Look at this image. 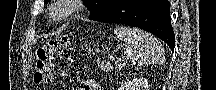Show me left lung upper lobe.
<instances>
[{
	"mask_svg": "<svg viewBox=\"0 0 216 90\" xmlns=\"http://www.w3.org/2000/svg\"><path fill=\"white\" fill-rule=\"evenodd\" d=\"M50 0H44V3H48ZM124 0H83L90 13V20H93L99 14L112 9L119 5Z\"/></svg>",
	"mask_w": 216,
	"mask_h": 90,
	"instance_id": "obj_1",
	"label": "left lung upper lobe"
}]
</instances>
